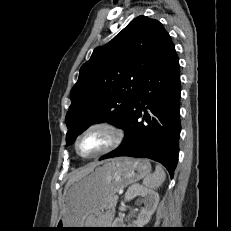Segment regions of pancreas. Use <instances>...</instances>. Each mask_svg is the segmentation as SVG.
<instances>
[{
	"mask_svg": "<svg viewBox=\"0 0 231 231\" xmlns=\"http://www.w3.org/2000/svg\"><path fill=\"white\" fill-rule=\"evenodd\" d=\"M116 203H117V199H115V196H113L109 201L108 207L109 208H114L116 206Z\"/></svg>",
	"mask_w": 231,
	"mask_h": 231,
	"instance_id": "1",
	"label": "pancreas"
}]
</instances>
